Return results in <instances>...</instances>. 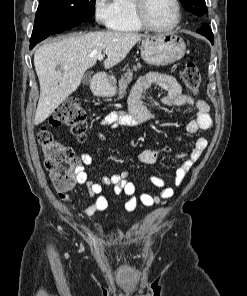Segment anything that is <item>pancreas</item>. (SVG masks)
Returning <instances> with one entry per match:
<instances>
[{"instance_id": "obj_1", "label": "pancreas", "mask_w": 247, "mask_h": 296, "mask_svg": "<svg viewBox=\"0 0 247 296\" xmlns=\"http://www.w3.org/2000/svg\"><path fill=\"white\" fill-rule=\"evenodd\" d=\"M141 65L138 64L137 66H133V69H128L126 73L121 77L119 80V97H123L126 93V89L128 87V84L132 81L133 78V71H137V69H140Z\"/></svg>"}]
</instances>
